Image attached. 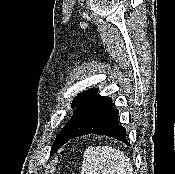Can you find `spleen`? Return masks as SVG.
<instances>
[{
  "label": "spleen",
  "mask_w": 175,
  "mask_h": 174,
  "mask_svg": "<svg viewBox=\"0 0 175 174\" xmlns=\"http://www.w3.org/2000/svg\"><path fill=\"white\" fill-rule=\"evenodd\" d=\"M81 169V174H133L129 158L109 146L88 147Z\"/></svg>",
  "instance_id": "obj_1"
}]
</instances>
